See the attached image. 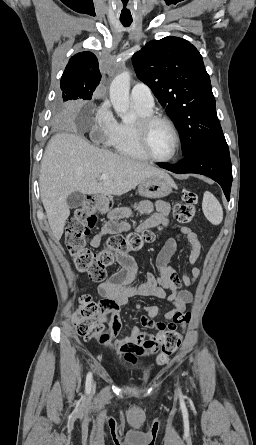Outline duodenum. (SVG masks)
<instances>
[{"label":"duodenum","instance_id":"410a0bca","mask_svg":"<svg viewBox=\"0 0 256 445\" xmlns=\"http://www.w3.org/2000/svg\"><path fill=\"white\" fill-rule=\"evenodd\" d=\"M110 207V203L108 201H103L101 204V211L105 213Z\"/></svg>","mask_w":256,"mask_h":445}]
</instances>
